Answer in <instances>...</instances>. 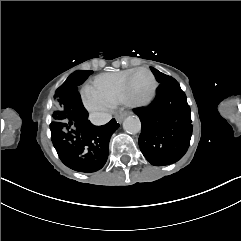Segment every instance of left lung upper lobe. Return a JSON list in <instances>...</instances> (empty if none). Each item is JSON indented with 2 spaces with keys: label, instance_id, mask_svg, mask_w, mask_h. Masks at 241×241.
I'll list each match as a JSON object with an SVG mask.
<instances>
[{
  "label": "left lung upper lobe",
  "instance_id": "1",
  "mask_svg": "<svg viewBox=\"0 0 241 241\" xmlns=\"http://www.w3.org/2000/svg\"><path fill=\"white\" fill-rule=\"evenodd\" d=\"M151 70H152L153 74L155 75V77H156V79L159 83H164V82H167L169 80L174 79V78H172L168 75H165V74L161 73L160 71H158L155 68L151 67Z\"/></svg>",
  "mask_w": 241,
  "mask_h": 241
}]
</instances>
